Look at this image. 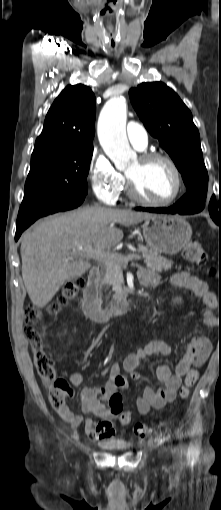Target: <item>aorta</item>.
Listing matches in <instances>:
<instances>
[{
    "label": "aorta",
    "instance_id": "obj_1",
    "mask_svg": "<svg viewBox=\"0 0 221 510\" xmlns=\"http://www.w3.org/2000/svg\"><path fill=\"white\" fill-rule=\"evenodd\" d=\"M127 103L124 97L111 98L102 108L97 133L107 156L119 170L127 168L135 157L126 136Z\"/></svg>",
    "mask_w": 221,
    "mask_h": 510
}]
</instances>
